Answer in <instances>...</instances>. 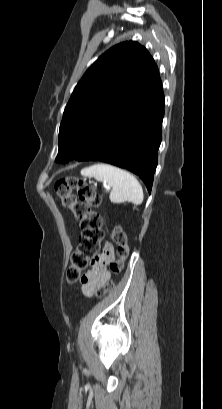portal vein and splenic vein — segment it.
Returning a JSON list of instances; mask_svg holds the SVG:
<instances>
[{
    "label": "portal vein and splenic vein",
    "instance_id": "obj_1",
    "mask_svg": "<svg viewBox=\"0 0 222 409\" xmlns=\"http://www.w3.org/2000/svg\"><path fill=\"white\" fill-rule=\"evenodd\" d=\"M105 188L108 189V190L110 189V187H109V186H106V185H105Z\"/></svg>",
    "mask_w": 222,
    "mask_h": 409
}]
</instances>
